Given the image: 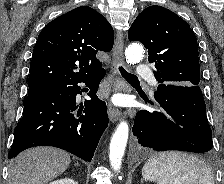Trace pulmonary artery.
Segmentation results:
<instances>
[{
    "label": "pulmonary artery",
    "mask_w": 224,
    "mask_h": 184,
    "mask_svg": "<svg viewBox=\"0 0 224 184\" xmlns=\"http://www.w3.org/2000/svg\"><path fill=\"white\" fill-rule=\"evenodd\" d=\"M135 75L137 77H151L152 85L156 84V80L153 78L151 70L146 65H139L136 69Z\"/></svg>",
    "instance_id": "1"
}]
</instances>
